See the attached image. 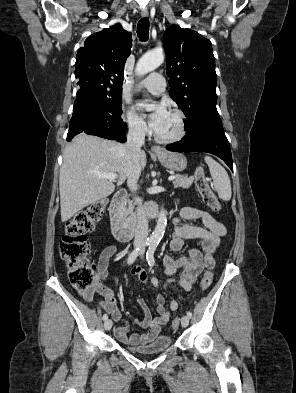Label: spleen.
<instances>
[{"label": "spleen", "instance_id": "3e777b00", "mask_svg": "<svg viewBox=\"0 0 296 393\" xmlns=\"http://www.w3.org/2000/svg\"><path fill=\"white\" fill-rule=\"evenodd\" d=\"M209 167L215 191L219 198L224 201H229L232 196L231 183L226 170L216 162L212 157L206 156L204 158Z\"/></svg>", "mask_w": 296, "mask_h": 393}]
</instances>
